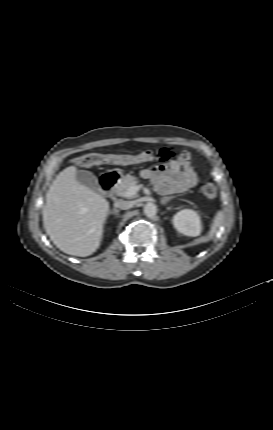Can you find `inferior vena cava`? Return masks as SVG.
Here are the masks:
<instances>
[{
	"instance_id": "inferior-vena-cava-1",
	"label": "inferior vena cava",
	"mask_w": 273,
	"mask_h": 430,
	"mask_svg": "<svg viewBox=\"0 0 273 430\" xmlns=\"http://www.w3.org/2000/svg\"><path fill=\"white\" fill-rule=\"evenodd\" d=\"M115 207L120 208L122 210L130 209L133 206V203L131 201H118L114 204Z\"/></svg>"
}]
</instances>
